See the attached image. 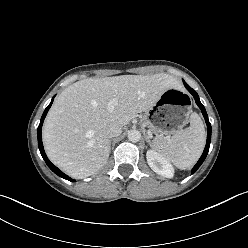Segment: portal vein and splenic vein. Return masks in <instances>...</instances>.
<instances>
[{"label":"portal vein and splenic vein","instance_id":"obj_1","mask_svg":"<svg viewBox=\"0 0 248 248\" xmlns=\"http://www.w3.org/2000/svg\"><path fill=\"white\" fill-rule=\"evenodd\" d=\"M118 104V101L116 99H111L108 103L107 110L112 112L115 108V106Z\"/></svg>","mask_w":248,"mask_h":248}]
</instances>
